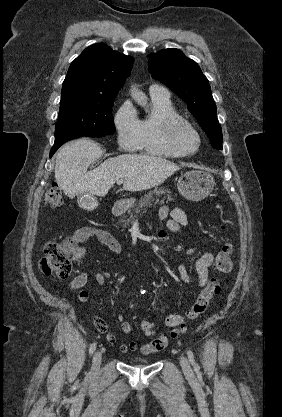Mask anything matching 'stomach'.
<instances>
[{"label":"stomach","mask_w":282,"mask_h":417,"mask_svg":"<svg viewBox=\"0 0 282 417\" xmlns=\"http://www.w3.org/2000/svg\"><path fill=\"white\" fill-rule=\"evenodd\" d=\"M214 178L207 170H188L178 178L177 188L188 200H202L213 190ZM129 206L135 202V198L125 200Z\"/></svg>","instance_id":"0dacf381"}]
</instances>
